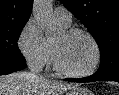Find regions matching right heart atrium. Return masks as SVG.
Wrapping results in <instances>:
<instances>
[{
    "label": "right heart atrium",
    "mask_w": 119,
    "mask_h": 95,
    "mask_svg": "<svg viewBox=\"0 0 119 95\" xmlns=\"http://www.w3.org/2000/svg\"><path fill=\"white\" fill-rule=\"evenodd\" d=\"M18 47L27 64L34 70H41L49 62L50 42L34 19L28 20L22 28L18 38Z\"/></svg>",
    "instance_id": "right-heart-atrium-1"
}]
</instances>
